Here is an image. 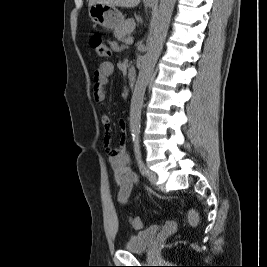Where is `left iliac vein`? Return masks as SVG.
Listing matches in <instances>:
<instances>
[{"mask_svg": "<svg viewBox=\"0 0 267 267\" xmlns=\"http://www.w3.org/2000/svg\"><path fill=\"white\" fill-rule=\"evenodd\" d=\"M147 178L152 184H156L157 183L158 177H157L155 172L147 170Z\"/></svg>", "mask_w": 267, "mask_h": 267, "instance_id": "1", "label": "left iliac vein"}]
</instances>
